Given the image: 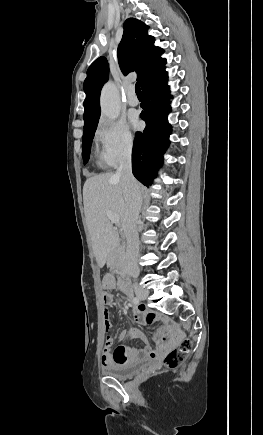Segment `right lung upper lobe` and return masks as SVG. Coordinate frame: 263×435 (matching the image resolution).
I'll list each match as a JSON object with an SVG mask.
<instances>
[{
  "instance_id": "1",
  "label": "right lung upper lobe",
  "mask_w": 263,
  "mask_h": 435,
  "mask_svg": "<svg viewBox=\"0 0 263 435\" xmlns=\"http://www.w3.org/2000/svg\"><path fill=\"white\" fill-rule=\"evenodd\" d=\"M148 26L129 18L124 23L122 40L118 46V62L124 75L137 72L141 88L165 69L166 59L162 58L163 49L154 46L155 39L147 34ZM109 68L106 58L99 57L87 70L84 81V129L98 124L100 117V91L108 80Z\"/></svg>"
}]
</instances>
